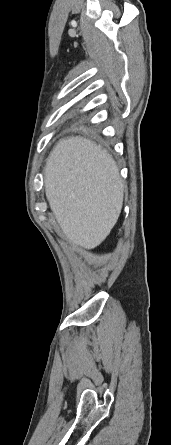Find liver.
Returning <instances> with one entry per match:
<instances>
[{"label":"liver","instance_id":"6515ba94","mask_svg":"<svg viewBox=\"0 0 171 445\" xmlns=\"http://www.w3.org/2000/svg\"><path fill=\"white\" fill-rule=\"evenodd\" d=\"M45 193L67 239L86 249L99 246L115 226L124 183L113 158L80 136L58 141L47 158Z\"/></svg>","mask_w":171,"mask_h":445}]
</instances>
